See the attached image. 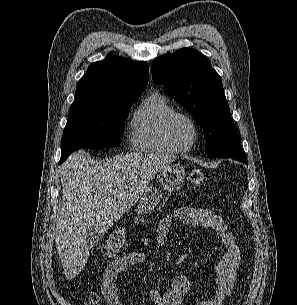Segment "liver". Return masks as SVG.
Wrapping results in <instances>:
<instances>
[{"label": "liver", "instance_id": "liver-1", "mask_svg": "<svg viewBox=\"0 0 297 305\" xmlns=\"http://www.w3.org/2000/svg\"><path fill=\"white\" fill-rule=\"evenodd\" d=\"M174 160L135 152L90 166L89 155L81 150L62 164L63 204L55 242L67 279L75 278L89 258L86 228L104 234L137 203L155 174Z\"/></svg>", "mask_w": 297, "mask_h": 305}]
</instances>
